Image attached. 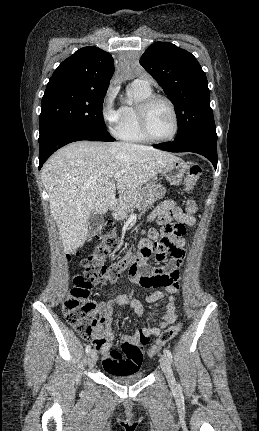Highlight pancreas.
<instances>
[{
	"label": "pancreas",
	"instance_id": "1",
	"mask_svg": "<svg viewBox=\"0 0 259 431\" xmlns=\"http://www.w3.org/2000/svg\"><path fill=\"white\" fill-rule=\"evenodd\" d=\"M140 197V190H135L129 194H126L120 202L118 207L115 209L113 213V217L117 221H123L128 217L127 213L131 212L133 208L136 207V204Z\"/></svg>",
	"mask_w": 259,
	"mask_h": 431
}]
</instances>
